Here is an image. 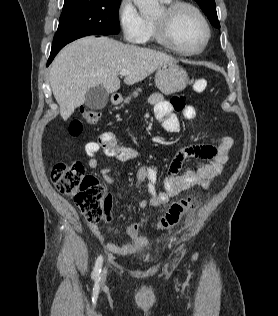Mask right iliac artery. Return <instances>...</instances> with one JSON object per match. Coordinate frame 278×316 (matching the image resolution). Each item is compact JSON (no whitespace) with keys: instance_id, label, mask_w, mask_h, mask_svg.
<instances>
[{"instance_id":"1","label":"right iliac artery","mask_w":278,"mask_h":316,"mask_svg":"<svg viewBox=\"0 0 278 316\" xmlns=\"http://www.w3.org/2000/svg\"><path fill=\"white\" fill-rule=\"evenodd\" d=\"M102 262H103V257L100 256L98 257L95 266H94V270L92 273V277L95 280H99L100 279V272H101V266H102Z\"/></svg>"}]
</instances>
